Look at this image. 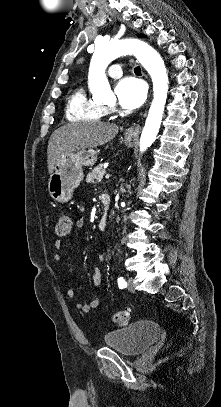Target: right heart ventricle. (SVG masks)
Masks as SVG:
<instances>
[{
  "mask_svg": "<svg viewBox=\"0 0 221 407\" xmlns=\"http://www.w3.org/2000/svg\"><path fill=\"white\" fill-rule=\"evenodd\" d=\"M109 110L89 97L82 85L75 87L68 96L66 118L69 121H99Z\"/></svg>",
  "mask_w": 221,
  "mask_h": 407,
  "instance_id": "1",
  "label": "right heart ventricle"
}]
</instances>
